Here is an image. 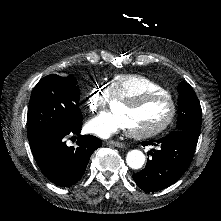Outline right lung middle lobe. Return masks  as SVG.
Wrapping results in <instances>:
<instances>
[{"instance_id":"1","label":"right lung middle lobe","mask_w":221,"mask_h":221,"mask_svg":"<svg viewBox=\"0 0 221 221\" xmlns=\"http://www.w3.org/2000/svg\"><path fill=\"white\" fill-rule=\"evenodd\" d=\"M78 104L79 88L73 76L42 78L30 97L28 139L44 132L71 130L83 120Z\"/></svg>"}]
</instances>
